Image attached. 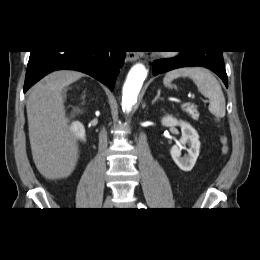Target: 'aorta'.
Here are the masks:
<instances>
[{
  "label": "aorta",
  "mask_w": 260,
  "mask_h": 260,
  "mask_svg": "<svg viewBox=\"0 0 260 260\" xmlns=\"http://www.w3.org/2000/svg\"><path fill=\"white\" fill-rule=\"evenodd\" d=\"M147 73L148 70L142 63L135 64L129 71L122 89V109L124 112L129 113L137 102Z\"/></svg>",
  "instance_id": "1"
}]
</instances>
